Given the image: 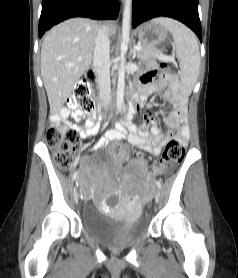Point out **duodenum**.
I'll return each mask as SVG.
<instances>
[{
	"label": "duodenum",
	"instance_id": "obj_1",
	"mask_svg": "<svg viewBox=\"0 0 238 278\" xmlns=\"http://www.w3.org/2000/svg\"><path fill=\"white\" fill-rule=\"evenodd\" d=\"M88 78L92 81L95 79V74L93 71L89 72ZM138 98L136 93H130L128 97V105H127V112L134 113L135 110L138 108Z\"/></svg>",
	"mask_w": 238,
	"mask_h": 278
}]
</instances>
